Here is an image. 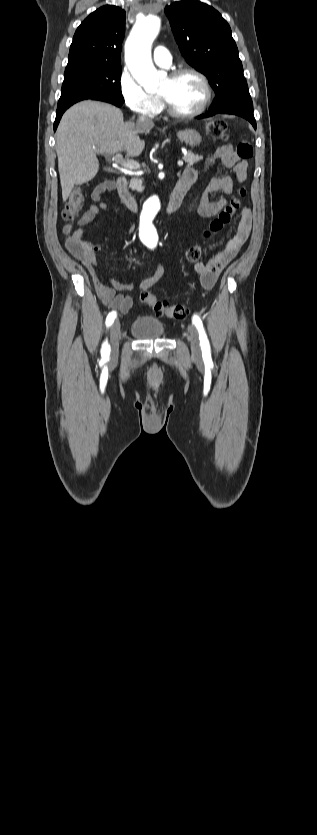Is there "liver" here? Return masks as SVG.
<instances>
[{
	"mask_svg": "<svg viewBox=\"0 0 317 835\" xmlns=\"http://www.w3.org/2000/svg\"><path fill=\"white\" fill-rule=\"evenodd\" d=\"M152 127L124 122L122 111L107 103L86 100L70 107L56 131L63 201L74 185L84 184L96 176L97 154L125 151L128 156H139L145 142L138 133H147Z\"/></svg>",
	"mask_w": 317,
	"mask_h": 835,
	"instance_id": "1",
	"label": "liver"
}]
</instances>
